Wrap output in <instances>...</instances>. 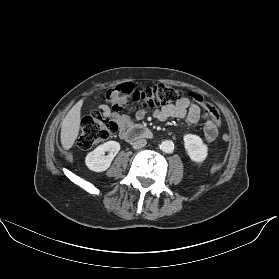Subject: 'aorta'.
<instances>
[{
    "mask_svg": "<svg viewBox=\"0 0 279 279\" xmlns=\"http://www.w3.org/2000/svg\"><path fill=\"white\" fill-rule=\"evenodd\" d=\"M160 149L166 153H171L174 150V144L170 140L163 141L160 145Z\"/></svg>",
    "mask_w": 279,
    "mask_h": 279,
    "instance_id": "obj_1",
    "label": "aorta"
}]
</instances>
